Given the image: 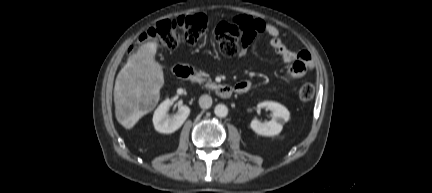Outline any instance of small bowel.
I'll return each instance as SVG.
<instances>
[{"label": "small bowel", "instance_id": "obj_1", "mask_svg": "<svg viewBox=\"0 0 432 193\" xmlns=\"http://www.w3.org/2000/svg\"><path fill=\"white\" fill-rule=\"evenodd\" d=\"M234 21L248 26L254 35L265 33L271 37V48L285 63L289 64L286 74L288 83L302 78L308 71L313 69L314 63L310 54L304 50L295 52L289 49L280 38L279 29L275 25L244 15L235 18ZM244 54L245 51H242L241 55ZM234 89L237 93H246L251 89V82L248 80L240 81L235 85Z\"/></svg>", "mask_w": 432, "mask_h": 193}]
</instances>
